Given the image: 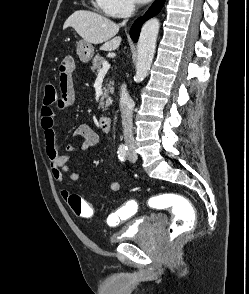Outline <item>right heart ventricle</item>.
<instances>
[{"label":"right heart ventricle","mask_w":249,"mask_h":294,"mask_svg":"<svg viewBox=\"0 0 249 294\" xmlns=\"http://www.w3.org/2000/svg\"><path fill=\"white\" fill-rule=\"evenodd\" d=\"M96 4L105 12V0H96Z\"/></svg>","instance_id":"e07e8e85"}]
</instances>
